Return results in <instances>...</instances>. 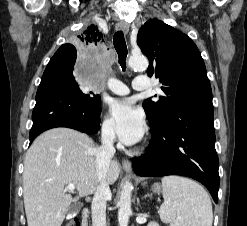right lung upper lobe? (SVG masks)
<instances>
[{
  "mask_svg": "<svg viewBox=\"0 0 247 226\" xmlns=\"http://www.w3.org/2000/svg\"><path fill=\"white\" fill-rule=\"evenodd\" d=\"M78 38L88 46H94L104 42L103 34L94 24H91ZM62 55H77L76 48L71 44L62 45L51 58L50 62H57Z\"/></svg>",
  "mask_w": 247,
  "mask_h": 226,
  "instance_id": "cb5924a9",
  "label": "right lung upper lobe"
}]
</instances>
